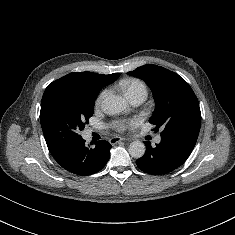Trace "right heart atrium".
<instances>
[{
  "instance_id": "obj_1",
  "label": "right heart atrium",
  "mask_w": 235,
  "mask_h": 235,
  "mask_svg": "<svg viewBox=\"0 0 235 235\" xmlns=\"http://www.w3.org/2000/svg\"><path fill=\"white\" fill-rule=\"evenodd\" d=\"M107 90H103L100 92V94L98 95L97 99H96V105L99 106L101 105V103L103 102L104 98L106 97L107 95Z\"/></svg>"
}]
</instances>
